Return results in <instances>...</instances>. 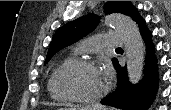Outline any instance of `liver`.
Wrapping results in <instances>:
<instances>
[{"mask_svg":"<svg viewBox=\"0 0 171 110\" xmlns=\"http://www.w3.org/2000/svg\"><path fill=\"white\" fill-rule=\"evenodd\" d=\"M81 109H84V110H90V109L103 110V107L102 106H86V107L81 108Z\"/></svg>","mask_w":171,"mask_h":110,"instance_id":"6515ba94","label":"liver"}]
</instances>
